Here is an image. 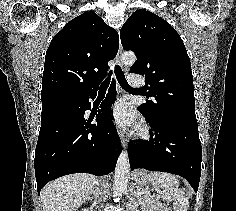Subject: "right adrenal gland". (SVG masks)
Here are the masks:
<instances>
[{
    "mask_svg": "<svg viewBox=\"0 0 236 211\" xmlns=\"http://www.w3.org/2000/svg\"><path fill=\"white\" fill-rule=\"evenodd\" d=\"M98 191H99V188H98ZM88 199H89V200H93V197H89Z\"/></svg>",
    "mask_w": 236,
    "mask_h": 211,
    "instance_id": "1",
    "label": "right adrenal gland"
}]
</instances>
